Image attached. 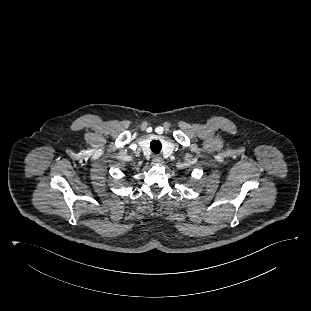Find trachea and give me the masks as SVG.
<instances>
[{
	"instance_id": "1",
	"label": "trachea",
	"mask_w": 311,
	"mask_h": 311,
	"mask_svg": "<svg viewBox=\"0 0 311 311\" xmlns=\"http://www.w3.org/2000/svg\"><path fill=\"white\" fill-rule=\"evenodd\" d=\"M150 148L155 154H159L162 148V144L158 140H153L150 143Z\"/></svg>"
}]
</instances>
